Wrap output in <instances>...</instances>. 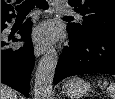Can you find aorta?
<instances>
[{"instance_id": "obj_1", "label": "aorta", "mask_w": 115, "mask_h": 99, "mask_svg": "<svg viewBox=\"0 0 115 99\" xmlns=\"http://www.w3.org/2000/svg\"><path fill=\"white\" fill-rule=\"evenodd\" d=\"M57 62L58 54L55 49H50L41 58L35 74V99H51L52 83Z\"/></svg>"}]
</instances>
